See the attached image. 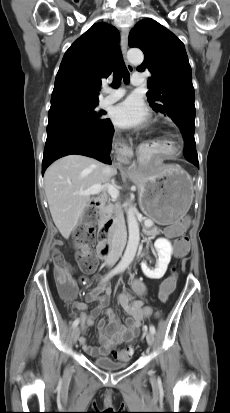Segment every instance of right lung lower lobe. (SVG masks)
<instances>
[{
	"mask_svg": "<svg viewBox=\"0 0 230 413\" xmlns=\"http://www.w3.org/2000/svg\"><path fill=\"white\" fill-rule=\"evenodd\" d=\"M96 129H64L47 135L44 149L42 174L58 158L70 154L93 157L111 164L110 149L114 127L109 119Z\"/></svg>",
	"mask_w": 230,
	"mask_h": 413,
	"instance_id": "obj_1",
	"label": "right lung lower lobe"
}]
</instances>
